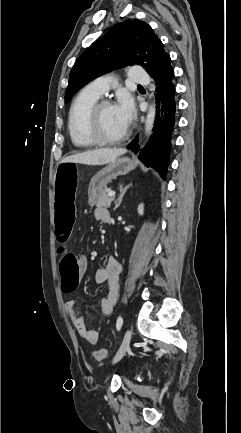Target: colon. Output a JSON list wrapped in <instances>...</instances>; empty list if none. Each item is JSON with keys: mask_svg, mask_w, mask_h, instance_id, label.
Segmentation results:
<instances>
[{"mask_svg": "<svg viewBox=\"0 0 241 433\" xmlns=\"http://www.w3.org/2000/svg\"><path fill=\"white\" fill-rule=\"evenodd\" d=\"M79 162L77 159H63L61 164L57 165L55 180L52 188L55 193L53 208L55 209L54 218L56 220L55 228L58 239L62 244V256L59 264V275L63 277L62 289L65 292L75 290L79 276V262L76 256L65 251V241L67 235H71L73 221L77 216V207H74V195L77 189V174ZM108 353L104 349L94 352V358L97 361H104Z\"/></svg>", "mask_w": 241, "mask_h": 433, "instance_id": "colon-1", "label": "colon"}]
</instances>
